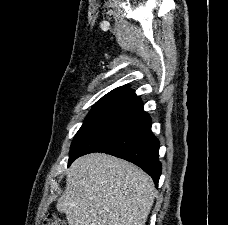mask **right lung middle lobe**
Here are the masks:
<instances>
[{
  "label": "right lung middle lobe",
  "instance_id": "obj_1",
  "mask_svg": "<svg viewBox=\"0 0 228 225\" xmlns=\"http://www.w3.org/2000/svg\"><path fill=\"white\" fill-rule=\"evenodd\" d=\"M134 98H136L134 90L126 86L118 87L103 96L86 116L83 125L74 137L70 153L92 130L131 102Z\"/></svg>",
  "mask_w": 228,
  "mask_h": 225
}]
</instances>
